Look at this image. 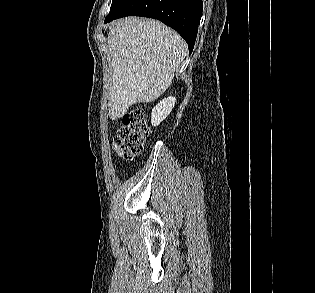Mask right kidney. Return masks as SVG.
I'll return each instance as SVG.
<instances>
[{
	"label": "right kidney",
	"mask_w": 315,
	"mask_h": 293,
	"mask_svg": "<svg viewBox=\"0 0 315 293\" xmlns=\"http://www.w3.org/2000/svg\"><path fill=\"white\" fill-rule=\"evenodd\" d=\"M176 98L167 97L160 101L153 109L151 114V123L154 127L158 126L171 113L175 106Z\"/></svg>",
	"instance_id": "ca27d5eb"
}]
</instances>
